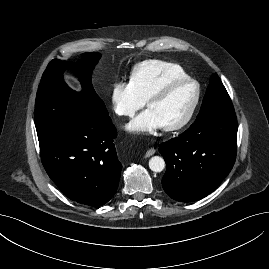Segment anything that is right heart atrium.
<instances>
[{
  "label": "right heart atrium",
  "instance_id": "obj_1",
  "mask_svg": "<svg viewBox=\"0 0 269 269\" xmlns=\"http://www.w3.org/2000/svg\"><path fill=\"white\" fill-rule=\"evenodd\" d=\"M110 101L114 113L119 117H132L145 103L131 82L123 80L113 84Z\"/></svg>",
  "mask_w": 269,
  "mask_h": 269
}]
</instances>
